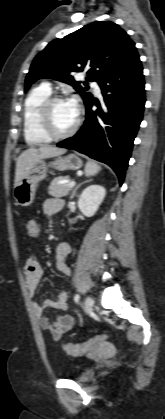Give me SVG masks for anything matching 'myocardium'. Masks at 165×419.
<instances>
[{"label":"myocardium","mask_w":165,"mask_h":419,"mask_svg":"<svg viewBox=\"0 0 165 419\" xmlns=\"http://www.w3.org/2000/svg\"><path fill=\"white\" fill-rule=\"evenodd\" d=\"M63 101H67V98L59 95L50 96L41 103L38 109L39 126L43 133L51 140H61L72 136L79 128L81 122L80 116H77L75 124L69 130L62 133L54 130L51 119V110L56 103Z\"/></svg>","instance_id":"obj_1"}]
</instances>
